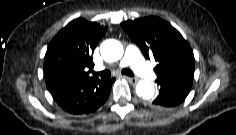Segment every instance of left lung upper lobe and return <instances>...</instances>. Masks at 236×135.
Instances as JSON below:
<instances>
[{
    "label": "left lung upper lobe",
    "mask_w": 236,
    "mask_h": 135,
    "mask_svg": "<svg viewBox=\"0 0 236 135\" xmlns=\"http://www.w3.org/2000/svg\"><path fill=\"white\" fill-rule=\"evenodd\" d=\"M141 48L146 59L154 57L157 80L194 75V55L188 42L168 22L158 17L139 18L121 23Z\"/></svg>",
    "instance_id": "5c2ea615"
}]
</instances>
